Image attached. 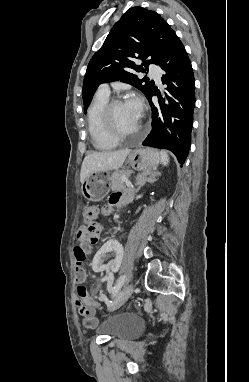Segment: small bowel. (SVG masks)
<instances>
[{"label": "small bowel", "mask_w": 249, "mask_h": 382, "mask_svg": "<svg viewBox=\"0 0 249 382\" xmlns=\"http://www.w3.org/2000/svg\"><path fill=\"white\" fill-rule=\"evenodd\" d=\"M129 201L128 193L124 191H115L110 197L107 206L105 207V212L110 213L115 207L123 205ZM100 228L98 225L92 226H81L77 231V248H88L93 243V245H98V236ZM79 284L81 282H78ZM112 284V283H111ZM111 284L109 286H111ZM76 304L80 306V313L84 317V326L87 328H93L97 324L95 318V309L100 305L97 300H93L86 296L83 299L77 298ZM90 311L86 314L83 311Z\"/></svg>", "instance_id": "obj_1"}]
</instances>
